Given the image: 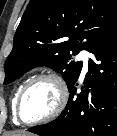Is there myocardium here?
Masks as SVG:
<instances>
[{
	"label": "myocardium",
	"instance_id": "f54148a6",
	"mask_svg": "<svg viewBox=\"0 0 117 136\" xmlns=\"http://www.w3.org/2000/svg\"><path fill=\"white\" fill-rule=\"evenodd\" d=\"M41 81H50L55 85L58 92L57 104L54 110L47 116L36 119V120H32V121H25L22 119L20 114V106H21L22 100L25 94L30 90V88ZM68 96H69L68 86L65 79L63 78L61 74L54 71L41 73L33 77L32 79H30L21 89L16 101L15 112H14L15 117L20 123L25 125H36V124H42V123L52 121L55 118H57L61 114V112L64 110L68 101Z\"/></svg>",
	"mask_w": 117,
	"mask_h": 136
}]
</instances>
